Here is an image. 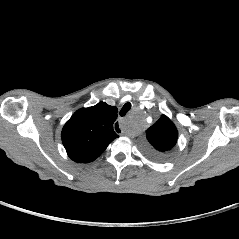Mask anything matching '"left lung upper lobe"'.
<instances>
[{
  "mask_svg": "<svg viewBox=\"0 0 239 239\" xmlns=\"http://www.w3.org/2000/svg\"><path fill=\"white\" fill-rule=\"evenodd\" d=\"M149 142L144 147L145 153L153 159H163L176 145L178 131L174 123L165 115L146 131Z\"/></svg>",
  "mask_w": 239,
  "mask_h": 239,
  "instance_id": "left-lung-upper-lobe-1",
  "label": "left lung upper lobe"
}]
</instances>
